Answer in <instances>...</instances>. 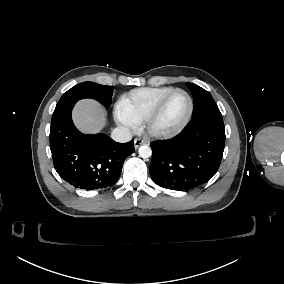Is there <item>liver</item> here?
I'll list each match as a JSON object with an SVG mask.
<instances>
[{"label": "liver", "mask_w": 284, "mask_h": 284, "mask_svg": "<svg viewBox=\"0 0 284 284\" xmlns=\"http://www.w3.org/2000/svg\"><path fill=\"white\" fill-rule=\"evenodd\" d=\"M74 119L83 131L96 132L103 123V110L94 101H82L75 109Z\"/></svg>", "instance_id": "6515ba94"}]
</instances>
